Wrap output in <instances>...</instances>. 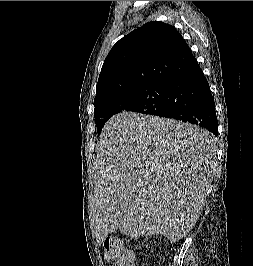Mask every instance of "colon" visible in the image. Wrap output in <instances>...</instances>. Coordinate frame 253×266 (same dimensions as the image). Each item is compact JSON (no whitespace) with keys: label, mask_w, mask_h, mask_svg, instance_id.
Here are the masks:
<instances>
[{"label":"colon","mask_w":253,"mask_h":266,"mask_svg":"<svg viewBox=\"0 0 253 266\" xmlns=\"http://www.w3.org/2000/svg\"><path fill=\"white\" fill-rule=\"evenodd\" d=\"M102 248L103 259L113 266H135L131 251L125 248L118 239L107 238Z\"/></svg>","instance_id":"5ec220e1"}]
</instances>
